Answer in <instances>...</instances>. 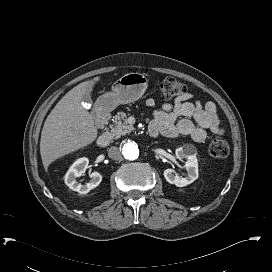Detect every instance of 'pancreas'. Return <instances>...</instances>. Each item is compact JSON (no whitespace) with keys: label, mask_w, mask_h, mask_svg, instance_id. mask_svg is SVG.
<instances>
[{"label":"pancreas","mask_w":272,"mask_h":272,"mask_svg":"<svg viewBox=\"0 0 272 272\" xmlns=\"http://www.w3.org/2000/svg\"><path fill=\"white\" fill-rule=\"evenodd\" d=\"M127 115L124 112H118L114 117V125H111L110 136L117 139L130 133L134 128L127 123Z\"/></svg>","instance_id":"pancreas-1"}]
</instances>
